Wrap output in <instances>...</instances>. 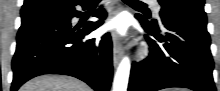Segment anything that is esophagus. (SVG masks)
I'll return each instance as SVG.
<instances>
[{
  "label": "esophagus",
  "mask_w": 220,
  "mask_h": 91,
  "mask_svg": "<svg viewBox=\"0 0 220 91\" xmlns=\"http://www.w3.org/2000/svg\"><path fill=\"white\" fill-rule=\"evenodd\" d=\"M123 56V48L119 41L118 36L114 35L113 38V64L116 67Z\"/></svg>",
  "instance_id": "obj_1"
}]
</instances>
